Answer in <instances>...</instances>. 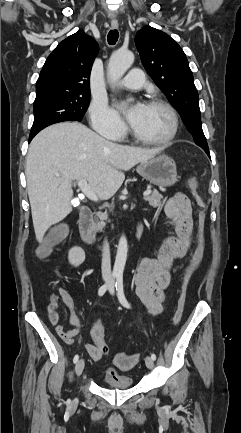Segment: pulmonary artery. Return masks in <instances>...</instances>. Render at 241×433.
Segmentation results:
<instances>
[{
	"label": "pulmonary artery",
	"instance_id": "e3ab8cb5",
	"mask_svg": "<svg viewBox=\"0 0 241 433\" xmlns=\"http://www.w3.org/2000/svg\"><path fill=\"white\" fill-rule=\"evenodd\" d=\"M145 76L140 69H132L120 84L126 89L139 90L145 85Z\"/></svg>",
	"mask_w": 241,
	"mask_h": 433
}]
</instances>
